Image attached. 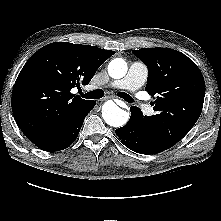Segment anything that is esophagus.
<instances>
[{
  "mask_svg": "<svg viewBox=\"0 0 221 221\" xmlns=\"http://www.w3.org/2000/svg\"><path fill=\"white\" fill-rule=\"evenodd\" d=\"M109 97H103L102 99H101V101H105V100H107ZM117 102H118V104L119 105H125L122 101H120V100H117Z\"/></svg>",
  "mask_w": 221,
  "mask_h": 221,
  "instance_id": "34e87169",
  "label": "esophagus"
}]
</instances>
